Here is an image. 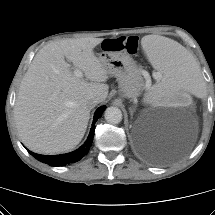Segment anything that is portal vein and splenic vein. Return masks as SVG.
<instances>
[{"label":"portal vein and splenic vein","mask_w":215,"mask_h":215,"mask_svg":"<svg viewBox=\"0 0 215 215\" xmlns=\"http://www.w3.org/2000/svg\"><path fill=\"white\" fill-rule=\"evenodd\" d=\"M74 74L77 77H83V73H82V71L79 68H74ZM159 77H160V75H159Z\"/></svg>","instance_id":"1"}]
</instances>
